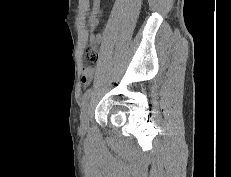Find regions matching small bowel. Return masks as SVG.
<instances>
[{"label": "small bowel", "mask_w": 231, "mask_h": 177, "mask_svg": "<svg viewBox=\"0 0 231 177\" xmlns=\"http://www.w3.org/2000/svg\"><path fill=\"white\" fill-rule=\"evenodd\" d=\"M100 1L101 0H93L92 2V10L90 12L89 20H88V26L91 30L96 29V27L99 25ZM102 40L103 38L99 34L93 37V41L97 44H101ZM93 75H94V71L92 69L84 70L81 78L82 83L84 85L89 84L93 78Z\"/></svg>", "instance_id": "small-bowel-1"}]
</instances>
